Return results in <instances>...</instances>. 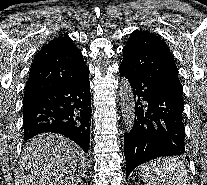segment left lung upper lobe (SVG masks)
Segmentation results:
<instances>
[{
  "instance_id": "left-lung-upper-lobe-1",
  "label": "left lung upper lobe",
  "mask_w": 207,
  "mask_h": 185,
  "mask_svg": "<svg viewBox=\"0 0 207 185\" xmlns=\"http://www.w3.org/2000/svg\"><path fill=\"white\" fill-rule=\"evenodd\" d=\"M123 52V65L130 73L143 75L183 101L177 66L166 43L149 31L131 33Z\"/></svg>"
}]
</instances>
